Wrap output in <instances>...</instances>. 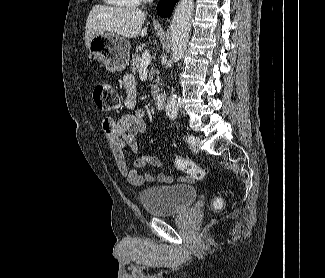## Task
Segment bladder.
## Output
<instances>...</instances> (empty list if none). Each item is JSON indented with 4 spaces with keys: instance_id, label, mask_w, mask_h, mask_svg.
<instances>
[{
    "instance_id": "31cf9c89",
    "label": "bladder",
    "mask_w": 325,
    "mask_h": 278,
    "mask_svg": "<svg viewBox=\"0 0 325 278\" xmlns=\"http://www.w3.org/2000/svg\"><path fill=\"white\" fill-rule=\"evenodd\" d=\"M197 189L189 184L151 186L139 193V201L152 217H164L180 213L196 201Z\"/></svg>"
}]
</instances>
